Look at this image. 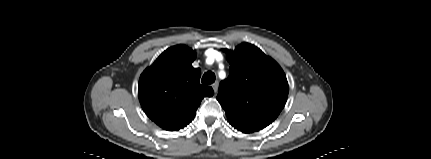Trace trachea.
<instances>
[{
	"label": "trachea",
	"instance_id": "1",
	"mask_svg": "<svg viewBox=\"0 0 431 159\" xmlns=\"http://www.w3.org/2000/svg\"><path fill=\"white\" fill-rule=\"evenodd\" d=\"M201 82L205 85H210L215 82V74L211 71L205 72Z\"/></svg>",
	"mask_w": 431,
	"mask_h": 159
}]
</instances>
